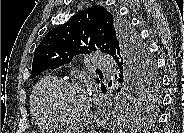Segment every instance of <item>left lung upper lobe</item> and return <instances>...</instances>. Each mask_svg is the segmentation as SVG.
<instances>
[{"instance_id": "obj_1", "label": "left lung upper lobe", "mask_w": 184, "mask_h": 133, "mask_svg": "<svg viewBox=\"0 0 184 133\" xmlns=\"http://www.w3.org/2000/svg\"><path fill=\"white\" fill-rule=\"evenodd\" d=\"M96 50L111 55L120 71L115 103L118 113H152L160 82L155 62L129 23L99 5L82 10L46 34L34 52L30 79L68 64L75 55ZM101 87L106 90L103 84Z\"/></svg>"}]
</instances>
